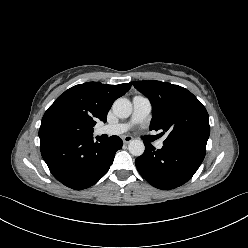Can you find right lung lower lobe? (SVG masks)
<instances>
[{
    "label": "right lung lower lobe",
    "mask_w": 248,
    "mask_h": 248,
    "mask_svg": "<svg viewBox=\"0 0 248 248\" xmlns=\"http://www.w3.org/2000/svg\"><path fill=\"white\" fill-rule=\"evenodd\" d=\"M93 135L40 138V150L52 175L65 186L81 190L95 184L110 168L123 142L118 136Z\"/></svg>",
    "instance_id": "98d812e1"
}]
</instances>
